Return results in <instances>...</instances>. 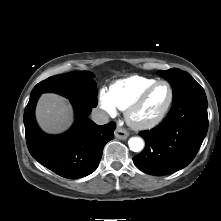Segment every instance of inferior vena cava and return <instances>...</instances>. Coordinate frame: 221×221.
<instances>
[{
    "label": "inferior vena cava",
    "instance_id": "602c4592",
    "mask_svg": "<svg viewBox=\"0 0 221 221\" xmlns=\"http://www.w3.org/2000/svg\"><path fill=\"white\" fill-rule=\"evenodd\" d=\"M91 117L92 120L98 125L107 124L109 122V115L100 109H94Z\"/></svg>",
    "mask_w": 221,
    "mask_h": 221
}]
</instances>
